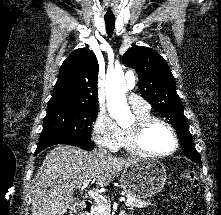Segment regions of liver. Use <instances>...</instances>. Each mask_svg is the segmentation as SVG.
Here are the masks:
<instances>
[{"label": "liver", "mask_w": 221, "mask_h": 215, "mask_svg": "<svg viewBox=\"0 0 221 215\" xmlns=\"http://www.w3.org/2000/svg\"><path fill=\"white\" fill-rule=\"evenodd\" d=\"M136 161L57 145L46 155L32 181L31 215H63L74 206L75 190L90 183L106 187L118 172Z\"/></svg>", "instance_id": "liver-1"}]
</instances>
